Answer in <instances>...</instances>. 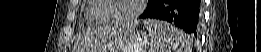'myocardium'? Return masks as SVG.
I'll return each instance as SVG.
<instances>
[{"label": "myocardium", "mask_w": 261, "mask_h": 52, "mask_svg": "<svg viewBox=\"0 0 261 52\" xmlns=\"http://www.w3.org/2000/svg\"><path fill=\"white\" fill-rule=\"evenodd\" d=\"M103 1V8H102V15L108 20L109 23L112 24H129L133 23L143 12L145 6V0H138V5L135 11L123 19H116L109 17V11L111 9V1L110 0H102Z\"/></svg>", "instance_id": "f54148a6"}]
</instances>
